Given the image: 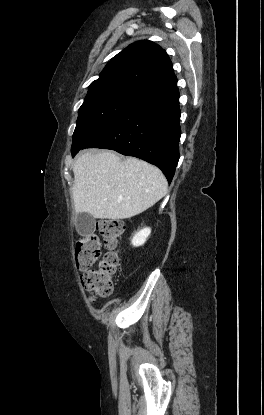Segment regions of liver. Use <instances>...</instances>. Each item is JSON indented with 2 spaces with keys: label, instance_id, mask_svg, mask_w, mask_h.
I'll return each mask as SVG.
<instances>
[{
  "label": "liver",
  "instance_id": "obj_1",
  "mask_svg": "<svg viewBox=\"0 0 264 415\" xmlns=\"http://www.w3.org/2000/svg\"><path fill=\"white\" fill-rule=\"evenodd\" d=\"M76 213L119 220L138 215L167 194L161 170L143 160H124L112 151H85L73 165Z\"/></svg>",
  "mask_w": 264,
  "mask_h": 415
}]
</instances>
